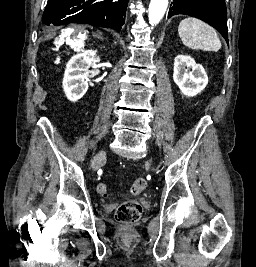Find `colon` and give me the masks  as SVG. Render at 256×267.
I'll use <instances>...</instances> for the list:
<instances>
[{"mask_svg":"<svg viewBox=\"0 0 256 267\" xmlns=\"http://www.w3.org/2000/svg\"><path fill=\"white\" fill-rule=\"evenodd\" d=\"M147 188V182L144 178H138L130 189L131 195H138ZM97 191L105 196L108 189L104 183L97 186ZM142 213V206L137 201H127L118 207L116 211L117 223L122 224L123 228H131L132 224H136Z\"/></svg>","mask_w":256,"mask_h":267,"instance_id":"5ec220e1","label":"colon"}]
</instances>
